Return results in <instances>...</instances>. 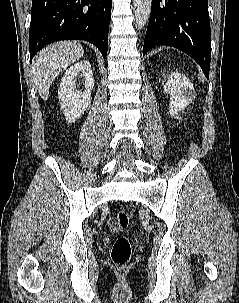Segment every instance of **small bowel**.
<instances>
[{
	"instance_id": "c3829d8e",
	"label": "small bowel",
	"mask_w": 239,
	"mask_h": 303,
	"mask_svg": "<svg viewBox=\"0 0 239 303\" xmlns=\"http://www.w3.org/2000/svg\"><path fill=\"white\" fill-rule=\"evenodd\" d=\"M109 225H110L111 227H116V224H115L113 221H110V222H109Z\"/></svg>"
}]
</instances>
